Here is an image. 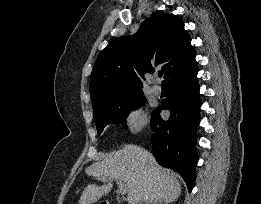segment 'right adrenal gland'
<instances>
[{
  "instance_id": "obj_1",
  "label": "right adrenal gland",
  "mask_w": 261,
  "mask_h": 204,
  "mask_svg": "<svg viewBox=\"0 0 261 204\" xmlns=\"http://www.w3.org/2000/svg\"><path fill=\"white\" fill-rule=\"evenodd\" d=\"M145 204H149V201H146ZM154 204V203H153Z\"/></svg>"
}]
</instances>
